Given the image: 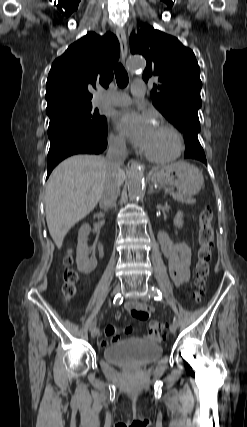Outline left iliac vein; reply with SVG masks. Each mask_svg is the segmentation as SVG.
Segmentation results:
<instances>
[{"label":"left iliac vein","instance_id":"obj_1","mask_svg":"<svg viewBox=\"0 0 247 427\" xmlns=\"http://www.w3.org/2000/svg\"><path fill=\"white\" fill-rule=\"evenodd\" d=\"M141 298H142V300H148V296L146 294L142 295ZM177 327H178V325L176 323H172L170 325V332L174 334L177 330Z\"/></svg>","mask_w":247,"mask_h":427}]
</instances>
